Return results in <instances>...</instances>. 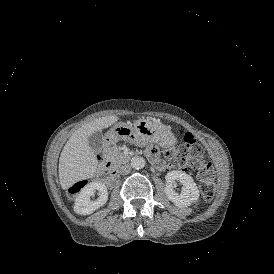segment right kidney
<instances>
[{
	"mask_svg": "<svg viewBox=\"0 0 274 274\" xmlns=\"http://www.w3.org/2000/svg\"><path fill=\"white\" fill-rule=\"evenodd\" d=\"M96 192L98 199L95 201H90V196ZM107 200V187L100 181H93L80 190L74 204V211L78 214L88 215L103 206Z\"/></svg>",
	"mask_w": 274,
	"mask_h": 274,
	"instance_id": "ca27d5eb",
	"label": "right kidney"
}]
</instances>
